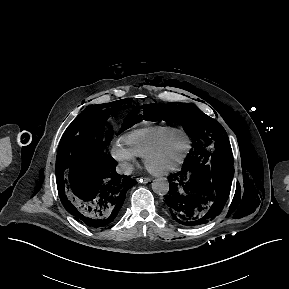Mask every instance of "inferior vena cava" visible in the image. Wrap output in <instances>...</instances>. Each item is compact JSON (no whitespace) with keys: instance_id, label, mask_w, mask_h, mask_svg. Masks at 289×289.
<instances>
[{"instance_id":"inferior-vena-cava-1","label":"inferior vena cava","mask_w":289,"mask_h":289,"mask_svg":"<svg viewBox=\"0 0 289 289\" xmlns=\"http://www.w3.org/2000/svg\"><path fill=\"white\" fill-rule=\"evenodd\" d=\"M133 171V166L131 164H124L117 168L119 174L130 175Z\"/></svg>"}]
</instances>
